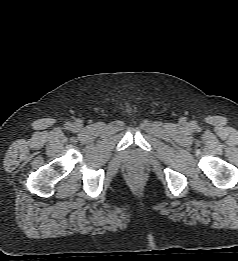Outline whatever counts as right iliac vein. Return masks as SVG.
I'll use <instances>...</instances> for the list:
<instances>
[{"mask_svg": "<svg viewBox=\"0 0 238 261\" xmlns=\"http://www.w3.org/2000/svg\"><path fill=\"white\" fill-rule=\"evenodd\" d=\"M80 128H81V124L78 123V122H76V123L73 125V129H74V130H80Z\"/></svg>", "mask_w": 238, "mask_h": 261, "instance_id": "63e3f726", "label": "right iliac vein"}]
</instances>
